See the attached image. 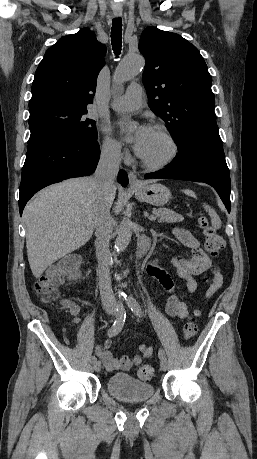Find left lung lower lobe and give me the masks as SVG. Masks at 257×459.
<instances>
[{"mask_svg": "<svg viewBox=\"0 0 257 459\" xmlns=\"http://www.w3.org/2000/svg\"><path fill=\"white\" fill-rule=\"evenodd\" d=\"M178 156L166 168L146 179H177L211 185L230 212L231 182L216 122L196 125L178 146Z\"/></svg>", "mask_w": 257, "mask_h": 459, "instance_id": "1", "label": "left lung lower lobe"}]
</instances>
